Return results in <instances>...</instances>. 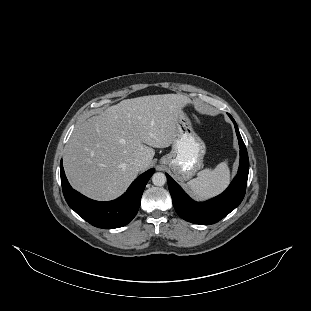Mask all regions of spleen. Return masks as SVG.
I'll list each match as a JSON object with an SVG mask.
<instances>
[{
  "label": "spleen",
  "instance_id": "obj_1",
  "mask_svg": "<svg viewBox=\"0 0 311 311\" xmlns=\"http://www.w3.org/2000/svg\"><path fill=\"white\" fill-rule=\"evenodd\" d=\"M229 182V169L225 163H219L214 168H204L189 180L188 186L194 196L204 198L212 196L226 187Z\"/></svg>",
  "mask_w": 311,
  "mask_h": 311
}]
</instances>
